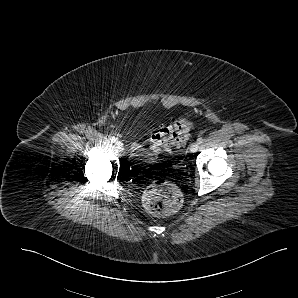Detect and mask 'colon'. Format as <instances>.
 Instances as JSON below:
<instances>
[{
	"mask_svg": "<svg viewBox=\"0 0 298 298\" xmlns=\"http://www.w3.org/2000/svg\"><path fill=\"white\" fill-rule=\"evenodd\" d=\"M191 127V121L186 118L177 119L162 127L151 136V149L158 153L182 145L187 141ZM182 201L180 190L166 180L152 183L143 195L145 209L155 216H168L177 212Z\"/></svg>",
	"mask_w": 298,
	"mask_h": 298,
	"instance_id": "5ec220e1",
	"label": "colon"
}]
</instances>
